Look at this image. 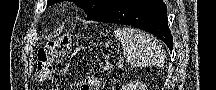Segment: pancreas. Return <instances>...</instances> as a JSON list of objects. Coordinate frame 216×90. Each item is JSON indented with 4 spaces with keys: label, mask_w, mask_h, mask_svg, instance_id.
Wrapping results in <instances>:
<instances>
[{
    "label": "pancreas",
    "mask_w": 216,
    "mask_h": 90,
    "mask_svg": "<svg viewBox=\"0 0 216 90\" xmlns=\"http://www.w3.org/2000/svg\"><path fill=\"white\" fill-rule=\"evenodd\" d=\"M101 69H110V64H101Z\"/></svg>",
    "instance_id": "1"
}]
</instances>
